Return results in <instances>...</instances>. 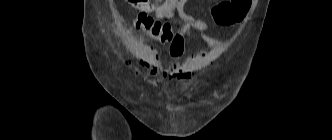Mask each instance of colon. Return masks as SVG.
I'll return each mask as SVG.
<instances>
[{
  "mask_svg": "<svg viewBox=\"0 0 332 140\" xmlns=\"http://www.w3.org/2000/svg\"><path fill=\"white\" fill-rule=\"evenodd\" d=\"M154 1L159 2L158 9L170 2V0H127L132 6L143 10H152ZM251 3V0H225L212 9V17L218 25L222 26L238 23L246 16ZM132 26L145 31L151 37H168L174 32L170 23L153 18L147 11L135 16Z\"/></svg>",
  "mask_w": 332,
  "mask_h": 140,
  "instance_id": "colon-1",
  "label": "colon"
}]
</instances>
